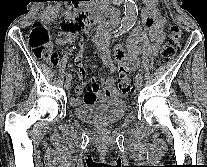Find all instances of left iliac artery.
<instances>
[{
  "label": "left iliac artery",
  "instance_id": "obj_1",
  "mask_svg": "<svg viewBox=\"0 0 207 167\" xmlns=\"http://www.w3.org/2000/svg\"><path fill=\"white\" fill-rule=\"evenodd\" d=\"M116 36H119V34L116 35ZM136 78H141V79H142V74H141V73H138V74L136 75Z\"/></svg>",
  "mask_w": 207,
  "mask_h": 167
}]
</instances>
